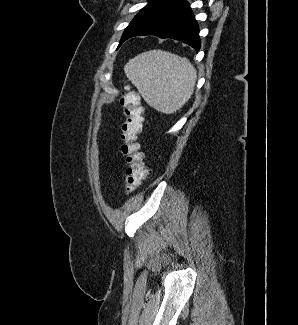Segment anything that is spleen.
<instances>
[{
	"label": "spleen",
	"instance_id": "obj_1",
	"mask_svg": "<svg viewBox=\"0 0 298 325\" xmlns=\"http://www.w3.org/2000/svg\"><path fill=\"white\" fill-rule=\"evenodd\" d=\"M124 72L144 100L165 114L176 112L188 102L197 78L188 58L161 48L130 58Z\"/></svg>",
	"mask_w": 298,
	"mask_h": 325
}]
</instances>
